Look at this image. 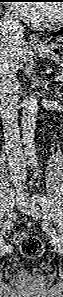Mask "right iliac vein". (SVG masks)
I'll list each match as a JSON object with an SVG mask.
<instances>
[{
  "label": "right iliac vein",
  "instance_id": "obj_1",
  "mask_svg": "<svg viewBox=\"0 0 63 297\" xmlns=\"http://www.w3.org/2000/svg\"><path fill=\"white\" fill-rule=\"evenodd\" d=\"M16 201H17V197L14 193H12L9 197L8 204H7V215L8 216L12 214V211H13ZM6 252H9V251H7V247H2L0 249L1 256H4Z\"/></svg>",
  "mask_w": 63,
  "mask_h": 297
}]
</instances>
